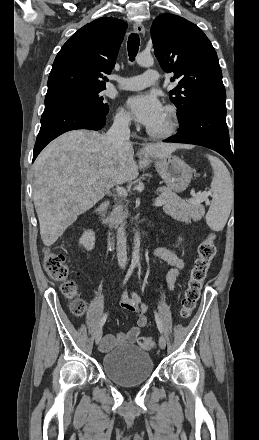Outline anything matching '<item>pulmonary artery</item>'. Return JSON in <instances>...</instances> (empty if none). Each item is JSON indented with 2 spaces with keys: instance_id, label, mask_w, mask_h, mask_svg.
<instances>
[{
  "instance_id": "pulmonary-artery-1",
  "label": "pulmonary artery",
  "mask_w": 259,
  "mask_h": 440,
  "mask_svg": "<svg viewBox=\"0 0 259 440\" xmlns=\"http://www.w3.org/2000/svg\"><path fill=\"white\" fill-rule=\"evenodd\" d=\"M159 79V73L153 69H148L141 75L117 78L118 87L123 90H141L158 83Z\"/></svg>"
}]
</instances>
